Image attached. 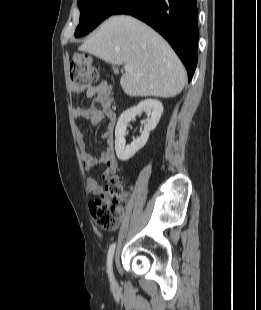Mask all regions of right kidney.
Listing matches in <instances>:
<instances>
[{"label": "right kidney", "mask_w": 261, "mask_h": 310, "mask_svg": "<svg viewBox=\"0 0 261 310\" xmlns=\"http://www.w3.org/2000/svg\"><path fill=\"white\" fill-rule=\"evenodd\" d=\"M146 112L148 116L147 123L140 137L134 140L130 145L125 144V134L128 122L141 112ZM163 113V105L156 99H146L141 101L137 106L124 111L117 122L115 128V150L118 159L127 161L135 155L137 151L145 146L149 134L154 130L160 121Z\"/></svg>", "instance_id": "ca27d5eb"}]
</instances>
